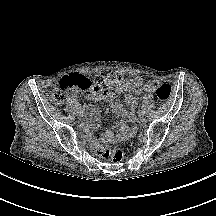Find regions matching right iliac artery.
I'll return each instance as SVG.
<instances>
[{
  "mask_svg": "<svg viewBox=\"0 0 216 216\" xmlns=\"http://www.w3.org/2000/svg\"><path fill=\"white\" fill-rule=\"evenodd\" d=\"M77 112H78V113H81V112H83V111H82L81 108H78V109H77Z\"/></svg>",
  "mask_w": 216,
  "mask_h": 216,
  "instance_id": "1",
  "label": "right iliac artery"
}]
</instances>
